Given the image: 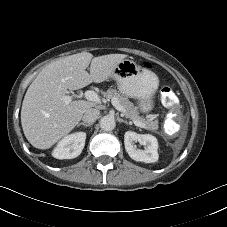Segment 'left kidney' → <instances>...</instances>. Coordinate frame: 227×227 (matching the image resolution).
Segmentation results:
<instances>
[{
    "mask_svg": "<svg viewBox=\"0 0 227 227\" xmlns=\"http://www.w3.org/2000/svg\"><path fill=\"white\" fill-rule=\"evenodd\" d=\"M139 142L145 146L144 150H139L133 145ZM125 150L128 155L135 161L154 163L158 160V142L157 139L150 134H137L133 131H127L124 135Z\"/></svg>",
    "mask_w": 227,
    "mask_h": 227,
    "instance_id": "obj_1",
    "label": "left kidney"
}]
</instances>
